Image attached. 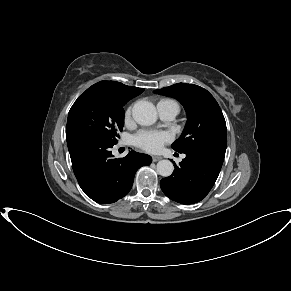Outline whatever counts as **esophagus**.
Returning a JSON list of instances; mask_svg holds the SVG:
<instances>
[{"mask_svg": "<svg viewBox=\"0 0 291 291\" xmlns=\"http://www.w3.org/2000/svg\"><path fill=\"white\" fill-rule=\"evenodd\" d=\"M161 159H162L161 156H153V157H152L153 162H157V161H159V160H161Z\"/></svg>", "mask_w": 291, "mask_h": 291, "instance_id": "1", "label": "esophagus"}]
</instances>
